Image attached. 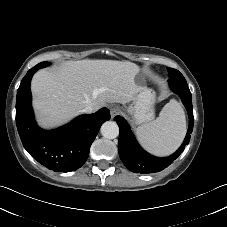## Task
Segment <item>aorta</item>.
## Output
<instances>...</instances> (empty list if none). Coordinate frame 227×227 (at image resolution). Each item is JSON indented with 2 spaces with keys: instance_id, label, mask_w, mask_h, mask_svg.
<instances>
[{
  "instance_id": "obj_1",
  "label": "aorta",
  "mask_w": 227,
  "mask_h": 227,
  "mask_svg": "<svg viewBox=\"0 0 227 227\" xmlns=\"http://www.w3.org/2000/svg\"><path fill=\"white\" fill-rule=\"evenodd\" d=\"M100 130L102 136L107 139H114L119 135V127L114 121L105 122Z\"/></svg>"
}]
</instances>
